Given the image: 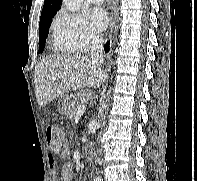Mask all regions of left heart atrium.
Wrapping results in <instances>:
<instances>
[{"label":"left heart atrium","mask_w":197,"mask_h":181,"mask_svg":"<svg viewBox=\"0 0 197 181\" xmlns=\"http://www.w3.org/2000/svg\"><path fill=\"white\" fill-rule=\"evenodd\" d=\"M88 20L90 25L96 31H102L107 27L109 23V16L106 10L100 7H96L89 11Z\"/></svg>","instance_id":"obj_1"}]
</instances>
